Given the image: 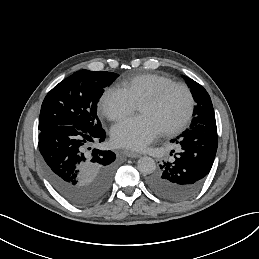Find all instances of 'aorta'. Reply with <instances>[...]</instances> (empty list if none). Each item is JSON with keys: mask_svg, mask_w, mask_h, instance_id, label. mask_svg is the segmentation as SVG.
<instances>
[{"mask_svg": "<svg viewBox=\"0 0 259 259\" xmlns=\"http://www.w3.org/2000/svg\"><path fill=\"white\" fill-rule=\"evenodd\" d=\"M137 168L142 174L148 175L155 171L156 163L151 157L144 156L138 160Z\"/></svg>", "mask_w": 259, "mask_h": 259, "instance_id": "aorta-1", "label": "aorta"}]
</instances>
